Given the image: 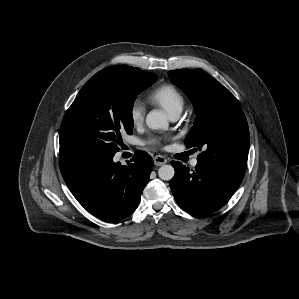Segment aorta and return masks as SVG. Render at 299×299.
<instances>
[{"label": "aorta", "instance_id": "aorta-1", "mask_svg": "<svg viewBox=\"0 0 299 299\" xmlns=\"http://www.w3.org/2000/svg\"><path fill=\"white\" fill-rule=\"evenodd\" d=\"M146 124L153 130L167 129L169 125L166 114L159 110H153L147 114ZM174 174L175 170L171 165H163L158 170V175L162 180H171Z\"/></svg>", "mask_w": 299, "mask_h": 299}]
</instances>
